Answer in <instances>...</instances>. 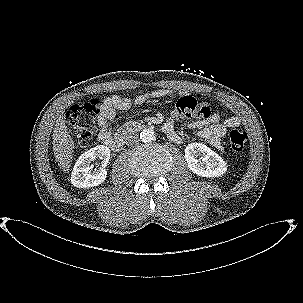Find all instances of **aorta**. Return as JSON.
Returning a JSON list of instances; mask_svg holds the SVG:
<instances>
[{
	"label": "aorta",
	"instance_id": "aorta-1",
	"mask_svg": "<svg viewBox=\"0 0 303 303\" xmlns=\"http://www.w3.org/2000/svg\"><path fill=\"white\" fill-rule=\"evenodd\" d=\"M140 139L144 143H149L156 139V133L151 128L143 129L140 133Z\"/></svg>",
	"mask_w": 303,
	"mask_h": 303
}]
</instances>
